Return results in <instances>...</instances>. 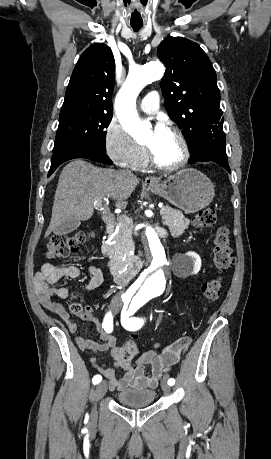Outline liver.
<instances>
[{
  "label": "liver",
  "instance_id": "obj_1",
  "mask_svg": "<svg viewBox=\"0 0 271 459\" xmlns=\"http://www.w3.org/2000/svg\"><path fill=\"white\" fill-rule=\"evenodd\" d=\"M139 180L128 172L96 168L89 162L74 160L67 164L57 184L50 226L45 237L67 220H90L94 208L105 198L116 200L115 206L125 210Z\"/></svg>",
  "mask_w": 271,
  "mask_h": 459
}]
</instances>
